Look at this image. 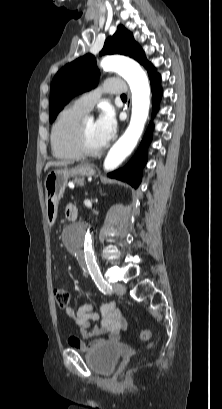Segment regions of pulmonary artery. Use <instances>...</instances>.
Segmentation results:
<instances>
[{
  "instance_id": "obj_1",
  "label": "pulmonary artery",
  "mask_w": 222,
  "mask_h": 409,
  "mask_svg": "<svg viewBox=\"0 0 222 409\" xmlns=\"http://www.w3.org/2000/svg\"><path fill=\"white\" fill-rule=\"evenodd\" d=\"M126 91L124 84H111L108 82L103 83L96 89L87 92L80 96L75 103L85 110L86 112L90 111L95 104L100 100L101 96L106 93L113 94H123Z\"/></svg>"
}]
</instances>
